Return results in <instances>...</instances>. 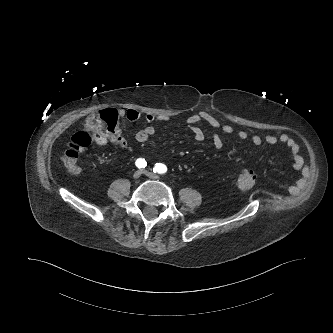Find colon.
<instances>
[{"instance_id": "5ec220e1", "label": "colon", "mask_w": 333, "mask_h": 333, "mask_svg": "<svg viewBox=\"0 0 333 333\" xmlns=\"http://www.w3.org/2000/svg\"><path fill=\"white\" fill-rule=\"evenodd\" d=\"M118 127V112L107 108L89 115L83 124V129L75 133L67 149L62 155V162L70 173L80 172L79 157L82 151L97 138L113 134ZM256 181V173L250 169L242 170L237 178L238 187L242 190L251 189Z\"/></svg>"}]
</instances>
